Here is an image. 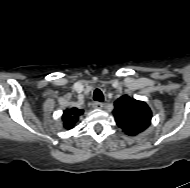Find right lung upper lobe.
<instances>
[{
    "mask_svg": "<svg viewBox=\"0 0 190 188\" xmlns=\"http://www.w3.org/2000/svg\"><path fill=\"white\" fill-rule=\"evenodd\" d=\"M83 110L76 107L68 108L63 111L62 121L65 129H72L79 120V117L83 114Z\"/></svg>",
    "mask_w": 190,
    "mask_h": 188,
    "instance_id": "obj_1",
    "label": "right lung upper lobe"
}]
</instances>
